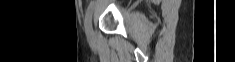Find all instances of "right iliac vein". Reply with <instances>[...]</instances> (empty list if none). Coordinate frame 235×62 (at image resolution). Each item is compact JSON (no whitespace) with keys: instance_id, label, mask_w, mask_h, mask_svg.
Returning <instances> with one entry per match:
<instances>
[{"instance_id":"obj_1","label":"right iliac vein","mask_w":235,"mask_h":62,"mask_svg":"<svg viewBox=\"0 0 235 62\" xmlns=\"http://www.w3.org/2000/svg\"><path fill=\"white\" fill-rule=\"evenodd\" d=\"M86 33H87V37L89 39H93L94 38V30H93L92 24H91L90 28L88 29V31Z\"/></svg>"}]
</instances>
